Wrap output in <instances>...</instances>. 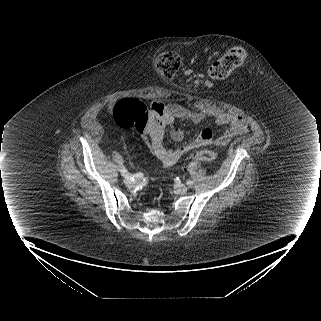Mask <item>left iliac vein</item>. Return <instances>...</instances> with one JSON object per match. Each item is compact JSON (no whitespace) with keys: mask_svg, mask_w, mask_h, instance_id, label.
I'll return each mask as SVG.
<instances>
[{"mask_svg":"<svg viewBox=\"0 0 321 321\" xmlns=\"http://www.w3.org/2000/svg\"><path fill=\"white\" fill-rule=\"evenodd\" d=\"M175 189L179 194H185L188 191V187L184 184L177 185Z\"/></svg>","mask_w":321,"mask_h":321,"instance_id":"1","label":"left iliac vein"}]
</instances>
